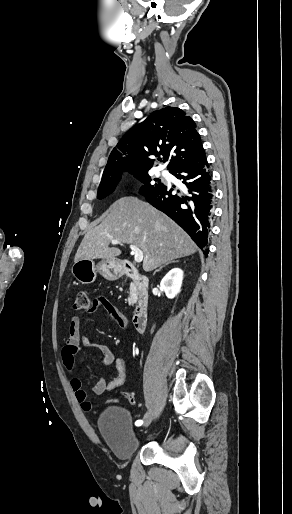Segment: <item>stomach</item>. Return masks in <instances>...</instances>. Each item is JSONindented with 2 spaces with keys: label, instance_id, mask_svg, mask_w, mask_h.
Listing matches in <instances>:
<instances>
[{
  "label": "stomach",
  "instance_id": "obj_1",
  "mask_svg": "<svg viewBox=\"0 0 292 514\" xmlns=\"http://www.w3.org/2000/svg\"><path fill=\"white\" fill-rule=\"evenodd\" d=\"M71 272L81 284H93L97 278V272L105 280L115 282L123 276L124 268L118 258H103L99 264H95L93 260H78L74 262Z\"/></svg>",
  "mask_w": 292,
  "mask_h": 514
}]
</instances>
